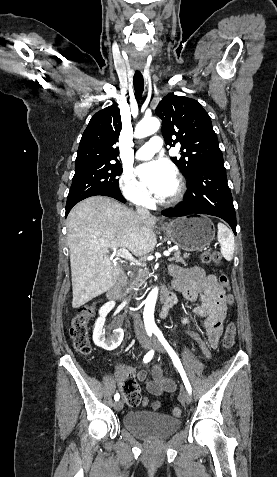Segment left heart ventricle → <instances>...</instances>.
<instances>
[{
    "instance_id": "b2bd125f",
    "label": "left heart ventricle",
    "mask_w": 277,
    "mask_h": 477,
    "mask_svg": "<svg viewBox=\"0 0 277 477\" xmlns=\"http://www.w3.org/2000/svg\"><path fill=\"white\" fill-rule=\"evenodd\" d=\"M176 188H177V184H175L173 190L171 191V193L169 194V196H168L167 198H169V197H171V196H173V195L175 194Z\"/></svg>"
}]
</instances>
